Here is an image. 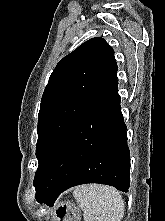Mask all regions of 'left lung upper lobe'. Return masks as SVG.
<instances>
[{
	"instance_id": "1",
	"label": "left lung upper lobe",
	"mask_w": 165,
	"mask_h": 221,
	"mask_svg": "<svg viewBox=\"0 0 165 221\" xmlns=\"http://www.w3.org/2000/svg\"><path fill=\"white\" fill-rule=\"evenodd\" d=\"M117 70L114 50L101 37L84 42L57 64L38 115L35 187L59 142L115 83Z\"/></svg>"
}]
</instances>
